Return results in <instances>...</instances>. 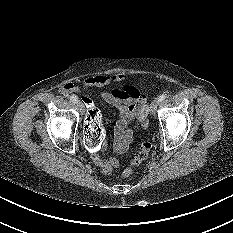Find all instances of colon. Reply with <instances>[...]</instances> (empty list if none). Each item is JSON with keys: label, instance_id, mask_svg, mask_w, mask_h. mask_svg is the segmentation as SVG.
Segmentation results:
<instances>
[{"label": "colon", "instance_id": "1", "mask_svg": "<svg viewBox=\"0 0 233 233\" xmlns=\"http://www.w3.org/2000/svg\"><path fill=\"white\" fill-rule=\"evenodd\" d=\"M79 105L84 111L85 119V147L88 153L95 154L101 151L103 147L104 138V126L102 123L101 115L98 108L94 107L92 101H90L89 96L82 95L79 98ZM143 128L148 127V120L144 118L141 122ZM151 143L149 140L144 139L141 143L140 150L134 159L131 161V165L137 166L144 162L151 150ZM132 170L126 168L122 172V177L127 178L131 175Z\"/></svg>", "mask_w": 233, "mask_h": 233}]
</instances>
